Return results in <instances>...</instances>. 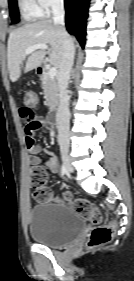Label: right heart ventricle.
<instances>
[{
    "instance_id": "obj_1",
    "label": "right heart ventricle",
    "mask_w": 134,
    "mask_h": 281,
    "mask_svg": "<svg viewBox=\"0 0 134 281\" xmlns=\"http://www.w3.org/2000/svg\"><path fill=\"white\" fill-rule=\"evenodd\" d=\"M19 9L25 21H34L43 16L36 0H19Z\"/></svg>"
}]
</instances>
